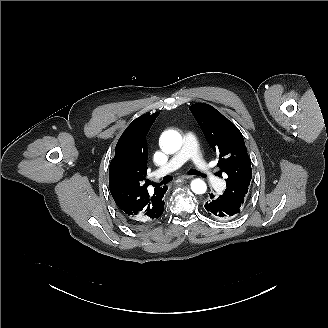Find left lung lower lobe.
Segmentation results:
<instances>
[{
    "instance_id": "obj_1",
    "label": "left lung lower lobe",
    "mask_w": 328,
    "mask_h": 328,
    "mask_svg": "<svg viewBox=\"0 0 328 328\" xmlns=\"http://www.w3.org/2000/svg\"><path fill=\"white\" fill-rule=\"evenodd\" d=\"M204 208L212 217L222 220L231 219L240 213V207L214 194H210V199L204 204Z\"/></svg>"
}]
</instances>
